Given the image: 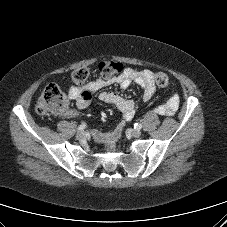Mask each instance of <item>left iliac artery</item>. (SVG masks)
<instances>
[{"label":"left iliac artery","mask_w":227,"mask_h":227,"mask_svg":"<svg viewBox=\"0 0 227 227\" xmlns=\"http://www.w3.org/2000/svg\"><path fill=\"white\" fill-rule=\"evenodd\" d=\"M134 128H136V129H141V128H142V125H141L140 123H136V124L134 125Z\"/></svg>","instance_id":"left-iliac-artery-1"}]
</instances>
